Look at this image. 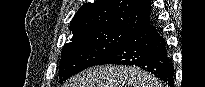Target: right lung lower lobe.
<instances>
[{
  "instance_id": "98d812e1",
  "label": "right lung lower lobe",
  "mask_w": 205,
  "mask_h": 87,
  "mask_svg": "<svg viewBox=\"0 0 205 87\" xmlns=\"http://www.w3.org/2000/svg\"><path fill=\"white\" fill-rule=\"evenodd\" d=\"M102 64L137 66L174 86L173 63L168 56L166 42L153 22L132 33L93 66Z\"/></svg>"
}]
</instances>
